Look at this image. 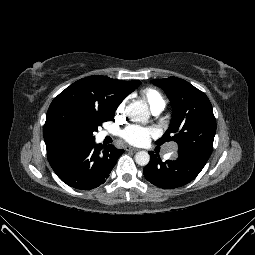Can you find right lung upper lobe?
Wrapping results in <instances>:
<instances>
[{"label":"right lung upper lobe","instance_id":"right-lung-upper-lobe-1","mask_svg":"<svg viewBox=\"0 0 255 255\" xmlns=\"http://www.w3.org/2000/svg\"><path fill=\"white\" fill-rule=\"evenodd\" d=\"M138 82L94 75L67 87L47 112L43 130L47 152L81 141L83 119L93 112L114 113Z\"/></svg>","mask_w":255,"mask_h":255}]
</instances>
